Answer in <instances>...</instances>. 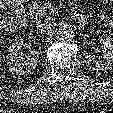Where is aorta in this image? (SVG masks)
<instances>
[{
  "label": "aorta",
  "instance_id": "762f6f07",
  "mask_svg": "<svg viewBox=\"0 0 113 113\" xmlns=\"http://www.w3.org/2000/svg\"><path fill=\"white\" fill-rule=\"evenodd\" d=\"M73 37L74 31L70 25L61 26L57 32V38L61 41H70Z\"/></svg>",
  "mask_w": 113,
  "mask_h": 113
}]
</instances>
